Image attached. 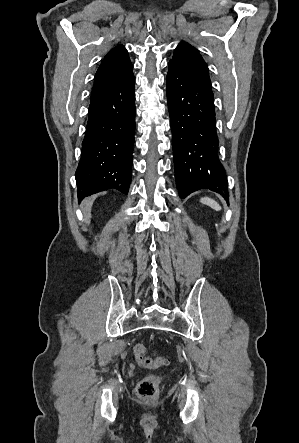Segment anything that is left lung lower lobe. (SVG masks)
I'll list each match as a JSON object with an SVG mask.
<instances>
[{"instance_id": "0a47b994", "label": "left lung lower lobe", "mask_w": 299, "mask_h": 443, "mask_svg": "<svg viewBox=\"0 0 299 443\" xmlns=\"http://www.w3.org/2000/svg\"><path fill=\"white\" fill-rule=\"evenodd\" d=\"M166 83L180 197L205 188L227 198V178L217 156L219 141L211 86L171 61Z\"/></svg>"}]
</instances>
